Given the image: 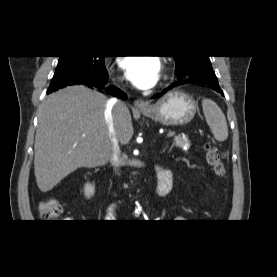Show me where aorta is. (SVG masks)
Here are the masks:
<instances>
[{
  "instance_id": "762f6f07",
  "label": "aorta",
  "mask_w": 277,
  "mask_h": 277,
  "mask_svg": "<svg viewBox=\"0 0 277 277\" xmlns=\"http://www.w3.org/2000/svg\"><path fill=\"white\" fill-rule=\"evenodd\" d=\"M139 210H140V209H137V210H136V213H138V212H139Z\"/></svg>"
}]
</instances>
